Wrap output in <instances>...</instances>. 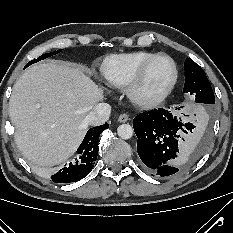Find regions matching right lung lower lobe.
I'll return each instance as SVG.
<instances>
[{
  "instance_id": "1",
  "label": "right lung lower lobe",
  "mask_w": 233,
  "mask_h": 233,
  "mask_svg": "<svg viewBox=\"0 0 233 233\" xmlns=\"http://www.w3.org/2000/svg\"><path fill=\"white\" fill-rule=\"evenodd\" d=\"M109 125L93 127L89 129L81 145L77 149V154L67 166L60 169L56 174L51 176L53 182L70 183L76 182L86 177L96 161L98 155V140L102 131Z\"/></svg>"
}]
</instances>
